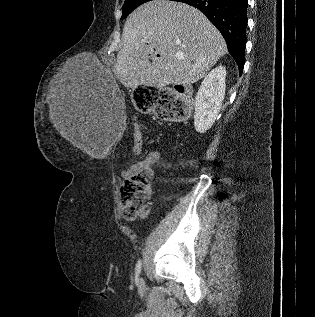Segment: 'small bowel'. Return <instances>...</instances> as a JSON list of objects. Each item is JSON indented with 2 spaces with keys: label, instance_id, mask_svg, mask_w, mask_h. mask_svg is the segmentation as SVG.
I'll list each match as a JSON object with an SVG mask.
<instances>
[{
  "label": "small bowel",
  "instance_id": "small-bowel-1",
  "mask_svg": "<svg viewBox=\"0 0 315 317\" xmlns=\"http://www.w3.org/2000/svg\"><path fill=\"white\" fill-rule=\"evenodd\" d=\"M161 155L159 151L152 150L150 151L142 160L132 164L131 166L124 168L121 171V176L124 180L128 179L132 175L148 169L153 165L157 164L160 161Z\"/></svg>",
  "mask_w": 315,
  "mask_h": 317
}]
</instances>
